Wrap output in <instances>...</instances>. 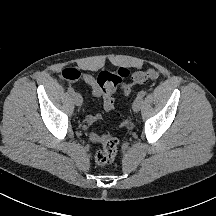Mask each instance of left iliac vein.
<instances>
[{"instance_id": "obj_1", "label": "left iliac vein", "mask_w": 216, "mask_h": 216, "mask_svg": "<svg viewBox=\"0 0 216 216\" xmlns=\"http://www.w3.org/2000/svg\"><path fill=\"white\" fill-rule=\"evenodd\" d=\"M141 105H142L141 99L136 98L132 104L133 111L138 112L141 109Z\"/></svg>"}]
</instances>
